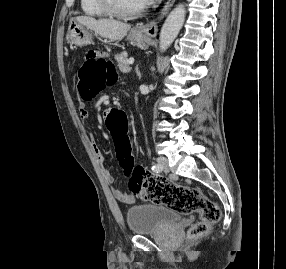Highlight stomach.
I'll return each mask as SVG.
<instances>
[{
	"label": "stomach",
	"instance_id": "1",
	"mask_svg": "<svg viewBox=\"0 0 286 269\" xmlns=\"http://www.w3.org/2000/svg\"><path fill=\"white\" fill-rule=\"evenodd\" d=\"M66 39L71 45L82 47L92 43V34L85 26L79 24L75 20H71ZM127 39L131 41L133 45H136L141 49L147 48L148 39L142 31L136 28H133L129 32Z\"/></svg>",
	"mask_w": 286,
	"mask_h": 269
}]
</instances>
